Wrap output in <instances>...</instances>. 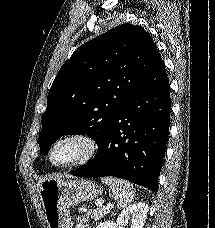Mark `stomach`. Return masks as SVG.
I'll use <instances>...</instances> for the list:
<instances>
[{"mask_svg":"<svg viewBox=\"0 0 215 228\" xmlns=\"http://www.w3.org/2000/svg\"><path fill=\"white\" fill-rule=\"evenodd\" d=\"M100 186L92 180H45L40 186V200L47 228H71L70 206L98 198Z\"/></svg>","mask_w":215,"mask_h":228,"instance_id":"0dacf381","label":"stomach"}]
</instances>
